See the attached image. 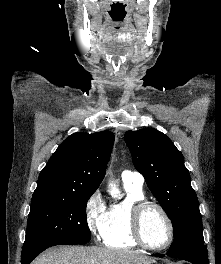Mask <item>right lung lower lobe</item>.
Here are the masks:
<instances>
[{
    "label": "right lung lower lobe",
    "mask_w": 221,
    "mask_h": 264,
    "mask_svg": "<svg viewBox=\"0 0 221 264\" xmlns=\"http://www.w3.org/2000/svg\"><path fill=\"white\" fill-rule=\"evenodd\" d=\"M44 250L45 249H40V250L33 252L31 254H28L26 256H22L21 257V263L22 264H29L38 254H40Z\"/></svg>",
    "instance_id": "obj_1"
}]
</instances>
